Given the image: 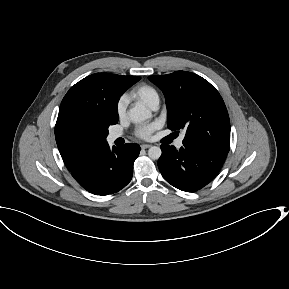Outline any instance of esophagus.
I'll list each match as a JSON object with an SVG mask.
<instances>
[{"label":"esophagus","instance_id":"esophagus-1","mask_svg":"<svg viewBox=\"0 0 289 289\" xmlns=\"http://www.w3.org/2000/svg\"><path fill=\"white\" fill-rule=\"evenodd\" d=\"M150 147H151L150 144H142V145H141V148H142V149H147V148H150Z\"/></svg>","mask_w":289,"mask_h":289}]
</instances>
